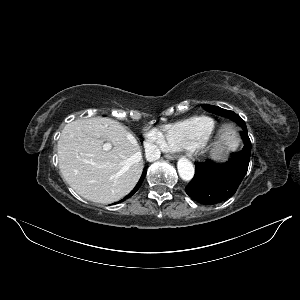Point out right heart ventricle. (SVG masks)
<instances>
[{
	"instance_id": "1",
	"label": "right heart ventricle",
	"mask_w": 300,
	"mask_h": 300,
	"mask_svg": "<svg viewBox=\"0 0 300 300\" xmlns=\"http://www.w3.org/2000/svg\"><path fill=\"white\" fill-rule=\"evenodd\" d=\"M216 127L213 119L207 116L191 117L162 127L168 150L188 151L203 138L211 135Z\"/></svg>"
}]
</instances>
